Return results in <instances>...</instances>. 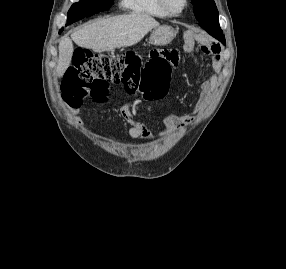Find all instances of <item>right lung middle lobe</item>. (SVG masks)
Segmentation results:
<instances>
[{"instance_id":"obj_1","label":"right lung middle lobe","mask_w":286,"mask_h":269,"mask_svg":"<svg viewBox=\"0 0 286 269\" xmlns=\"http://www.w3.org/2000/svg\"><path fill=\"white\" fill-rule=\"evenodd\" d=\"M112 2L113 0H80L71 6L68 12L67 24H72L84 17L106 10ZM62 31L63 28L60 30V33Z\"/></svg>"}]
</instances>
